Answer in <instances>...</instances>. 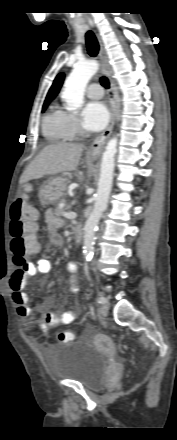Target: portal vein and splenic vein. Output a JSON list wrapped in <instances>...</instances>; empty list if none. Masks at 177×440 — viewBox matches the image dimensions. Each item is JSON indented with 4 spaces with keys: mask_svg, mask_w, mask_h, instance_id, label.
Masks as SVG:
<instances>
[{
    "mask_svg": "<svg viewBox=\"0 0 177 440\" xmlns=\"http://www.w3.org/2000/svg\"><path fill=\"white\" fill-rule=\"evenodd\" d=\"M63 216L67 219H74L76 218L77 214L75 212H64Z\"/></svg>",
    "mask_w": 177,
    "mask_h": 440,
    "instance_id": "portal-vein-and-splenic-vein-1",
    "label": "portal vein and splenic vein"
}]
</instances>
